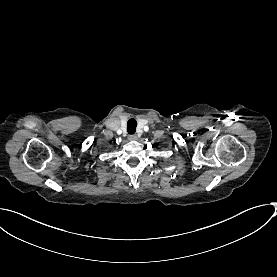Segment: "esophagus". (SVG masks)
<instances>
[{
  "label": "esophagus",
  "mask_w": 277,
  "mask_h": 277,
  "mask_svg": "<svg viewBox=\"0 0 277 277\" xmlns=\"http://www.w3.org/2000/svg\"><path fill=\"white\" fill-rule=\"evenodd\" d=\"M128 140L129 141H136L137 140V135H135V134L128 135Z\"/></svg>",
  "instance_id": "34e87169"
}]
</instances>
